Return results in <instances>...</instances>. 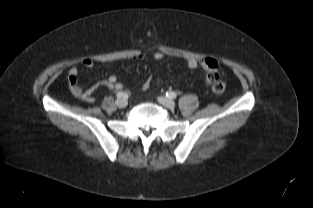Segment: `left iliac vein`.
Masks as SVG:
<instances>
[{
  "mask_svg": "<svg viewBox=\"0 0 313 208\" xmlns=\"http://www.w3.org/2000/svg\"><path fill=\"white\" fill-rule=\"evenodd\" d=\"M158 102L166 108L173 109L175 107V103L173 100L166 97H158Z\"/></svg>",
  "mask_w": 313,
  "mask_h": 208,
  "instance_id": "left-iliac-vein-1",
  "label": "left iliac vein"
}]
</instances>
